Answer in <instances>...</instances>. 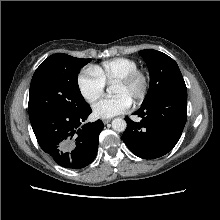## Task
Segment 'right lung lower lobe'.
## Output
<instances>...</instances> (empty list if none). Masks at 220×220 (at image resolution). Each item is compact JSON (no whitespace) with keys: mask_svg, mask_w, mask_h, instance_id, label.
Returning <instances> with one entry per match:
<instances>
[{"mask_svg":"<svg viewBox=\"0 0 220 220\" xmlns=\"http://www.w3.org/2000/svg\"><path fill=\"white\" fill-rule=\"evenodd\" d=\"M91 112L88 106L78 113H54L32 123L40 147L57 164L80 169L95 159L103 122L97 120L79 128Z\"/></svg>","mask_w":220,"mask_h":220,"instance_id":"obj_1","label":"right lung lower lobe"}]
</instances>
